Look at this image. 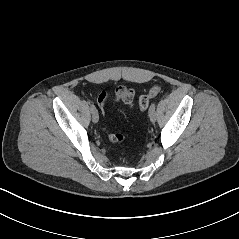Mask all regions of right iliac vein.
<instances>
[{
  "mask_svg": "<svg viewBox=\"0 0 239 239\" xmlns=\"http://www.w3.org/2000/svg\"><path fill=\"white\" fill-rule=\"evenodd\" d=\"M91 114H92V121L94 123H97L99 120V115H98L97 110L91 111Z\"/></svg>",
  "mask_w": 239,
  "mask_h": 239,
  "instance_id": "right-iliac-vein-1",
  "label": "right iliac vein"
}]
</instances>
